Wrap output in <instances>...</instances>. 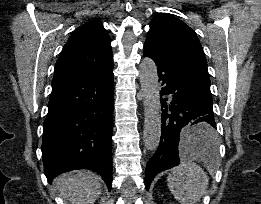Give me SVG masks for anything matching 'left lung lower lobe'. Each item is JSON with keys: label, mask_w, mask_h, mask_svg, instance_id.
<instances>
[{"label": "left lung lower lobe", "mask_w": 261, "mask_h": 204, "mask_svg": "<svg viewBox=\"0 0 261 204\" xmlns=\"http://www.w3.org/2000/svg\"><path fill=\"white\" fill-rule=\"evenodd\" d=\"M144 56L152 58L158 67L159 81L164 85L160 96L172 94L169 101L161 99L162 135L157 151L147 163L145 186L148 190L159 172L179 164L181 152L200 151L199 143H211L216 123L208 76L150 44L145 43ZM186 127H189L188 133Z\"/></svg>", "instance_id": "1"}]
</instances>
